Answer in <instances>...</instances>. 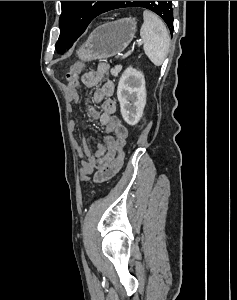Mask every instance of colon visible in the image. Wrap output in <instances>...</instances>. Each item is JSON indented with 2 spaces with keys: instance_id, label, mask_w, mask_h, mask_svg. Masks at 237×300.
Here are the masks:
<instances>
[{
  "instance_id": "5ec220e1",
  "label": "colon",
  "mask_w": 237,
  "mask_h": 300,
  "mask_svg": "<svg viewBox=\"0 0 237 300\" xmlns=\"http://www.w3.org/2000/svg\"><path fill=\"white\" fill-rule=\"evenodd\" d=\"M83 68H84V63L82 62H76L70 67L66 76L67 83L69 86L76 87L79 85L78 75L83 70ZM90 179H91L90 174H81L82 181L87 182Z\"/></svg>"
}]
</instances>
